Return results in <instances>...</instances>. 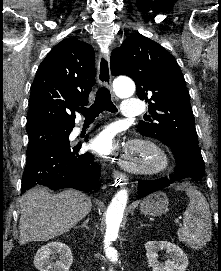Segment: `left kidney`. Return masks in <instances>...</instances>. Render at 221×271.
<instances>
[{
    "instance_id": "obj_1",
    "label": "left kidney",
    "mask_w": 221,
    "mask_h": 271,
    "mask_svg": "<svg viewBox=\"0 0 221 271\" xmlns=\"http://www.w3.org/2000/svg\"><path fill=\"white\" fill-rule=\"evenodd\" d=\"M145 247L149 265L153 271H185L189 263L183 249L170 241H147ZM160 249H166V257H171V259L159 261L158 251Z\"/></svg>"
}]
</instances>
